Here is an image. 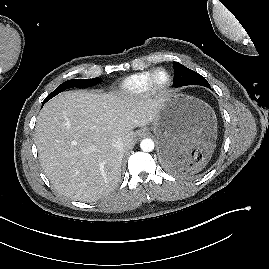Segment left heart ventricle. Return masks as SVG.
I'll return each instance as SVG.
<instances>
[{"mask_svg": "<svg viewBox=\"0 0 269 269\" xmlns=\"http://www.w3.org/2000/svg\"><path fill=\"white\" fill-rule=\"evenodd\" d=\"M165 79H166L165 74H160V75L158 76V81H159L160 83L164 82Z\"/></svg>", "mask_w": 269, "mask_h": 269, "instance_id": "b2bd125f", "label": "left heart ventricle"}]
</instances>
